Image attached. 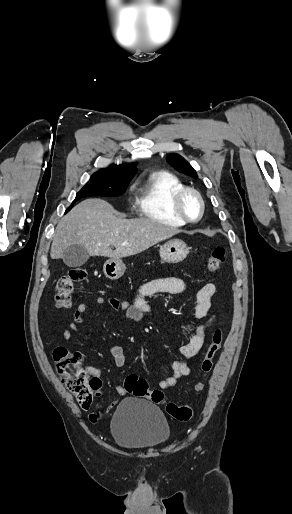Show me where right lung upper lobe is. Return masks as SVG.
Listing matches in <instances>:
<instances>
[{
  "label": "right lung upper lobe",
  "mask_w": 292,
  "mask_h": 514,
  "mask_svg": "<svg viewBox=\"0 0 292 514\" xmlns=\"http://www.w3.org/2000/svg\"><path fill=\"white\" fill-rule=\"evenodd\" d=\"M137 172L135 164L111 165L106 169H100L91 177L100 179L131 180Z\"/></svg>",
  "instance_id": "1"
}]
</instances>
